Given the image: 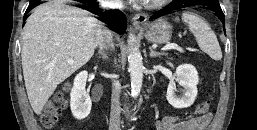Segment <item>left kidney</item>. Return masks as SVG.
<instances>
[{
	"instance_id": "5707ae66",
	"label": "left kidney",
	"mask_w": 257,
	"mask_h": 130,
	"mask_svg": "<svg viewBox=\"0 0 257 130\" xmlns=\"http://www.w3.org/2000/svg\"><path fill=\"white\" fill-rule=\"evenodd\" d=\"M175 80L183 87V96H176L175 84L171 81L167 89V101L176 109L190 107L194 103L198 92L199 77L196 68L191 64L179 65L176 69Z\"/></svg>"
}]
</instances>
